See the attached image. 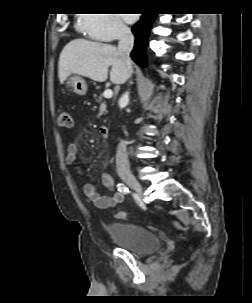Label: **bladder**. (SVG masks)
<instances>
[{
    "mask_svg": "<svg viewBox=\"0 0 252 303\" xmlns=\"http://www.w3.org/2000/svg\"><path fill=\"white\" fill-rule=\"evenodd\" d=\"M110 237L117 245L139 255L157 253L161 243L150 229L136 224L110 223L107 226Z\"/></svg>",
    "mask_w": 252,
    "mask_h": 303,
    "instance_id": "31cf9c89",
    "label": "bladder"
}]
</instances>
